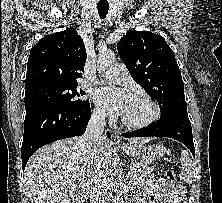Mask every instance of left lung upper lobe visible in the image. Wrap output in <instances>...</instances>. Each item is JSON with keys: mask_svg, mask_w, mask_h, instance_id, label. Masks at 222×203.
<instances>
[{"mask_svg": "<svg viewBox=\"0 0 222 203\" xmlns=\"http://www.w3.org/2000/svg\"><path fill=\"white\" fill-rule=\"evenodd\" d=\"M117 49L132 78L158 102L161 114L173 108L187 109L179 66L162 36L130 30Z\"/></svg>", "mask_w": 222, "mask_h": 203, "instance_id": "left-lung-upper-lobe-1", "label": "left lung upper lobe"}]
</instances>
